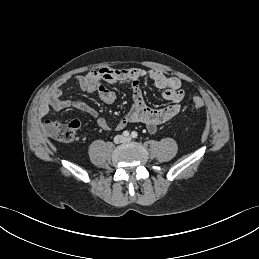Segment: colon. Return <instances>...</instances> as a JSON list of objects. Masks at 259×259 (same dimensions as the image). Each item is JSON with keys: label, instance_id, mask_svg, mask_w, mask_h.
Here are the masks:
<instances>
[{"label": "colon", "instance_id": "colon-1", "mask_svg": "<svg viewBox=\"0 0 259 259\" xmlns=\"http://www.w3.org/2000/svg\"><path fill=\"white\" fill-rule=\"evenodd\" d=\"M192 104L195 108H201L204 102L202 98L196 97L193 99ZM80 126V122L77 120L69 122H49L45 125L44 131L54 139L67 143L76 139Z\"/></svg>", "mask_w": 259, "mask_h": 259}]
</instances>
